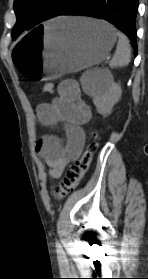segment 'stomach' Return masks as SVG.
<instances>
[{"instance_id": "obj_1", "label": "stomach", "mask_w": 148, "mask_h": 279, "mask_svg": "<svg viewBox=\"0 0 148 279\" xmlns=\"http://www.w3.org/2000/svg\"><path fill=\"white\" fill-rule=\"evenodd\" d=\"M110 24L90 18L60 17L25 35L12 47L21 82H52L102 62L116 42Z\"/></svg>"}]
</instances>
